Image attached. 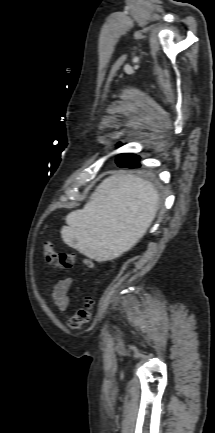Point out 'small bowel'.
Instances as JSON below:
<instances>
[{"label": "small bowel", "instance_id": "c3829d8e", "mask_svg": "<svg viewBox=\"0 0 215 433\" xmlns=\"http://www.w3.org/2000/svg\"><path fill=\"white\" fill-rule=\"evenodd\" d=\"M72 285V279L69 277L59 280L53 290V299L55 306L60 312H64L69 305V298L67 296Z\"/></svg>", "mask_w": 215, "mask_h": 433}]
</instances>
